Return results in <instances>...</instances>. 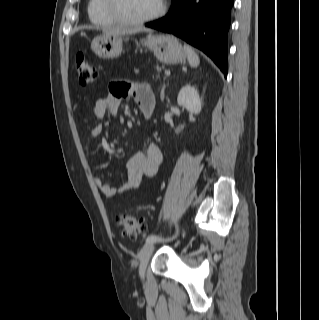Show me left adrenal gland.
<instances>
[{"label":"left adrenal gland","instance_id":"left-adrenal-gland-1","mask_svg":"<svg viewBox=\"0 0 319 320\" xmlns=\"http://www.w3.org/2000/svg\"><path fill=\"white\" fill-rule=\"evenodd\" d=\"M164 89H165V85L163 86L162 92H161V99H162V100L164 99Z\"/></svg>","mask_w":319,"mask_h":320}]
</instances>
